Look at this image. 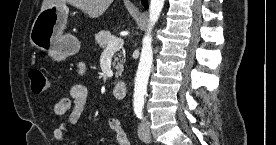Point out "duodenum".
Instances as JSON below:
<instances>
[{
	"label": "duodenum",
	"instance_id": "obj_1",
	"mask_svg": "<svg viewBox=\"0 0 276 145\" xmlns=\"http://www.w3.org/2000/svg\"><path fill=\"white\" fill-rule=\"evenodd\" d=\"M127 93V83L125 81H117L113 86V94L117 99L125 98Z\"/></svg>",
	"mask_w": 276,
	"mask_h": 145
}]
</instances>
